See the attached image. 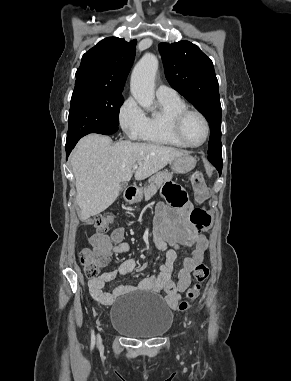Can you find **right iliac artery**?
Segmentation results:
<instances>
[{"instance_id": "82829eb1", "label": "right iliac artery", "mask_w": 291, "mask_h": 381, "mask_svg": "<svg viewBox=\"0 0 291 381\" xmlns=\"http://www.w3.org/2000/svg\"><path fill=\"white\" fill-rule=\"evenodd\" d=\"M94 340H95V338H94V335H93V332H92V344H94Z\"/></svg>"}]
</instances>
